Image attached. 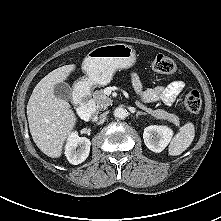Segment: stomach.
<instances>
[{
  "label": "stomach",
  "instance_id": "stomach-1",
  "mask_svg": "<svg viewBox=\"0 0 221 221\" xmlns=\"http://www.w3.org/2000/svg\"><path fill=\"white\" fill-rule=\"evenodd\" d=\"M136 62V52L132 46L118 43L96 47L84 58V77L79 84L91 89L107 85L117 70L128 69Z\"/></svg>",
  "mask_w": 221,
  "mask_h": 221
}]
</instances>
